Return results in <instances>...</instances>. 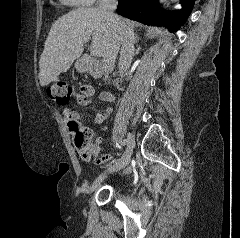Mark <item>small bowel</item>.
Listing matches in <instances>:
<instances>
[{
    "label": "small bowel",
    "mask_w": 240,
    "mask_h": 238,
    "mask_svg": "<svg viewBox=\"0 0 240 238\" xmlns=\"http://www.w3.org/2000/svg\"><path fill=\"white\" fill-rule=\"evenodd\" d=\"M94 94H95V91H94L93 87L90 85H82V86H80L79 90L74 93L78 104H80L82 106H87V105L91 104L93 101ZM99 99L103 102H111V101H113L114 97L109 93L102 92L99 95ZM112 111H113V108L108 107L104 113H96L92 119V123L94 125H100L112 113ZM63 115H64L65 120L68 121V123L72 120L77 121L79 123V120H80L79 113L72 111L70 108L65 107L63 109ZM101 142H102V139L100 137H97L95 139V146L93 147V155H92L93 158L95 159V162H94L95 166H100L103 159H106L107 162H113L114 159L118 158L117 154H102V157H100L99 154H100V149H101V146H100ZM127 168L131 169L132 165L128 164ZM132 173L133 172L130 170L126 171L125 168L123 170L118 171L119 175H126V174L130 175Z\"/></svg>",
    "instance_id": "c3829d8e"
}]
</instances>
